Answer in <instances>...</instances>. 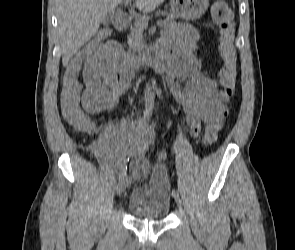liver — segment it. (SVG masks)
I'll list each match as a JSON object with an SVG mask.
<instances>
[{"mask_svg": "<svg viewBox=\"0 0 295 250\" xmlns=\"http://www.w3.org/2000/svg\"><path fill=\"white\" fill-rule=\"evenodd\" d=\"M123 0H57V18L62 63L65 66L71 57L92 37L100 24ZM164 0H135L137 9L152 12Z\"/></svg>", "mask_w": 295, "mask_h": 250, "instance_id": "6515ba94", "label": "liver"}]
</instances>
